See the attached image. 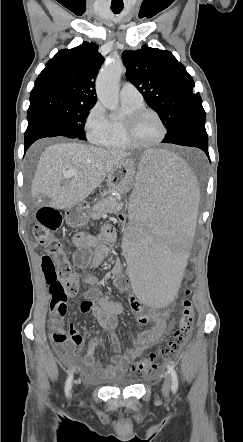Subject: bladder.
Instances as JSON below:
<instances>
[{
    "label": "bladder",
    "mask_w": 243,
    "mask_h": 442,
    "mask_svg": "<svg viewBox=\"0 0 243 442\" xmlns=\"http://www.w3.org/2000/svg\"><path fill=\"white\" fill-rule=\"evenodd\" d=\"M136 383V380L130 376L123 375L115 377L104 384L106 388H125L131 387Z\"/></svg>",
    "instance_id": "1"
}]
</instances>
